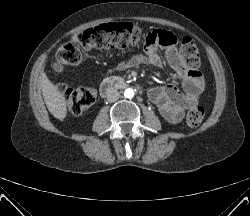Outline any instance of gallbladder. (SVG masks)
I'll return each mask as SVG.
<instances>
[{
	"label": "gallbladder",
	"instance_id": "1",
	"mask_svg": "<svg viewBox=\"0 0 250 216\" xmlns=\"http://www.w3.org/2000/svg\"><path fill=\"white\" fill-rule=\"evenodd\" d=\"M53 69H54V71H56V72H62L63 71V66L62 65H60V64H53Z\"/></svg>",
	"mask_w": 250,
	"mask_h": 216
}]
</instances>
